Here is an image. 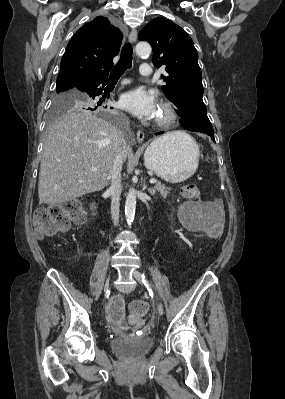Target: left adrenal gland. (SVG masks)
<instances>
[{
    "mask_svg": "<svg viewBox=\"0 0 285 399\" xmlns=\"http://www.w3.org/2000/svg\"><path fill=\"white\" fill-rule=\"evenodd\" d=\"M148 192H149L151 195H154V194H155V190L152 189V188H148Z\"/></svg>",
    "mask_w": 285,
    "mask_h": 399,
    "instance_id": "left-adrenal-gland-1",
    "label": "left adrenal gland"
}]
</instances>
